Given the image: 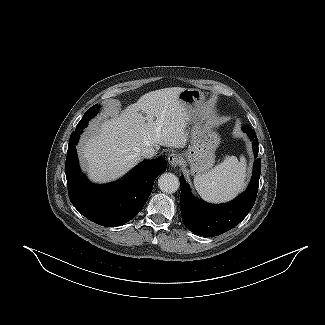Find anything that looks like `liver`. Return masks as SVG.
<instances>
[{
    "instance_id": "1",
    "label": "liver",
    "mask_w": 325,
    "mask_h": 325,
    "mask_svg": "<svg viewBox=\"0 0 325 325\" xmlns=\"http://www.w3.org/2000/svg\"><path fill=\"white\" fill-rule=\"evenodd\" d=\"M184 89L148 92L124 110L114 108L110 119L92 125L79 150L89 177L95 182L120 178L141 161L144 148H184L193 115L179 100Z\"/></svg>"
}]
</instances>
